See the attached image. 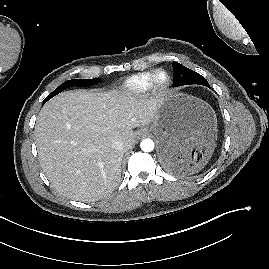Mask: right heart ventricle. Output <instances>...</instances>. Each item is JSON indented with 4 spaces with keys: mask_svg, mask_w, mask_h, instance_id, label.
Segmentation results:
<instances>
[{
    "mask_svg": "<svg viewBox=\"0 0 269 269\" xmlns=\"http://www.w3.org/2000/svg\"><path fill=\"white\" fill-rule=\"evenodd\" d=\"M152 71H145L128 77L121 85L123 92L139 95L149 89Z\"/></svg>",
    "mask_w": 269,
    "mask_h": 269,
    "instance_id": "1",
    "label": "right heart ventricle"
}]
</instances>
